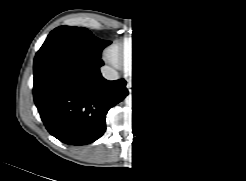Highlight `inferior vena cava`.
<instances>
[{"instance_id": "inferior-vena-cava-1", "label": "inferior vena cava", "mask_w": 246, "mask_h": 181, "mask_svg": "<svg viewBox=\"0 0 246 181\" xmlns=\"http://www.w3.org/2000/svg\"><path fill=\"white\" fill-rule=\"evenodd\" d=\"M102 74H103V77L108 80H115L119 78L118 72L107 66L102 68Z\"/></svg>"}]
</instances>
